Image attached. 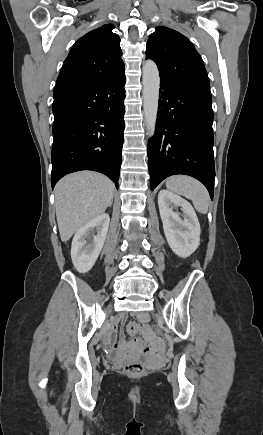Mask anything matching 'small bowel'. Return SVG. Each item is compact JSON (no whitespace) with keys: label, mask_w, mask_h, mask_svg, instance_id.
<instances>
[{"label":"small bowel","mask_w":263,"mask_h":435,"mask_svg":"<svg viewBox=\"0 0 263 435\" xmlns=\"http://www.w3.org/2000/svg\"><path fill=\"white\" fill-rule=\"evenodd\" d=\"M126 319L125 315H121L119 321L123 322ZM139 320L142 323H146L149 320V315L146 313H141L139 315ZM140 327L137 324H132V331L139 330ZM113 336L109 335L107 337V344L110 347V350L113 351L116 355H121L124 353H138L141 350L142 356H151L154 360L155 364H164L165 357L162 355L163 343L159 341L161 339V334L159 332H144L143 339L144 341H151L150 347H142L141 349V339L138 336H135L132 341H127L123 335H121L118 344L112 342Z\"/></svg>","instance_id":"obj_1"}]
</instances>
